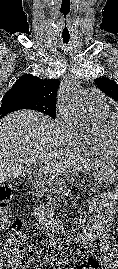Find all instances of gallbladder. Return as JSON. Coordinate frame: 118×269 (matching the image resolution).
Segmentation results:
<instances>
[{
    "label": "gallbladder",
    "mask_w": 118,
    "mask_h": 269,
    "mask_svg": "<svg viewBox=\"0 0 118 269\" xmlns=\"http://www.w3.org/2000/svg\"><path fill=\"white\" fill-rule=\"evenodd\" d=\"M28 170L26 168H23V173L28 174Z\"/></svg>",
    "instance_id": "bac80fb5"
}]
</instances>
